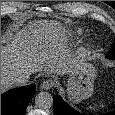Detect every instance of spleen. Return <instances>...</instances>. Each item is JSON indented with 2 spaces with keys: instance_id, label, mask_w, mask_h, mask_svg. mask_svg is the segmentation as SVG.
<instances>
[{
  "instance_id": "spleen-1",
  "label": "spleen",
  "mask_w": 115,
  "mask_h": 115,
  "mask_svg": "<svg viewBox=\"0 0 115 115\" xmlns=\"http://www.w3.org/2000/svg\"><path fill=\"white\" fill-rule=\"evenodd\" d=\"M103 107H104V105L101 104V103L98 105V109H101V108H103ZM87 109L93 111V110H95V107L89 106Z\"/></svg>"
}]
</instances>
